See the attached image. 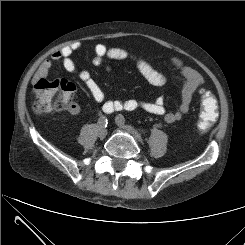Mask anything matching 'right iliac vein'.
I'll return each mask as SVG.
<instances>
[{
    "label": "right iliac vein",
    "mask_w": 245,
    "mask_h": 245,
    "mask_svg": "<svg viewBox=\"0 0 245 245\" xmlns=\"http://www.w3.org/2000/svg\"><path fill=\"white\" fill-rule=\"evenodd\" d=\"M98 135L99 137L103 138L107 135V129L106 127L102 126V125H99V128H98Z\"/></svg>",
    "instance_id": "right-iliac-vein-1"
}]
</instances>
